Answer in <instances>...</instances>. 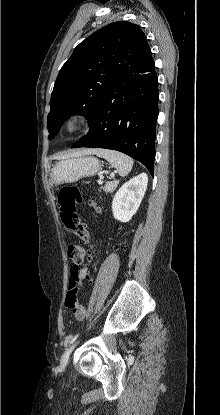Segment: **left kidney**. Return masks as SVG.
Returning a JSON list of instances; mask_svg holds the SVG:
<instances>
[{
	"mask_svg": "<svg viewBox=\"0 0 220 415\" xmlns=\"http://www.w3.org/2000/svg\"><path fill=\"white\" fill-rule=\"evenodd\" d=\"M148 176L141 173L119 188L112 201L115 219L128 222L136 213L147 189Z\"/></svg>",
	"mask_w": 220,
	"mask_h": 415,
	"instance_id": "5707ae66",
	"label": "left kidney"
}]
</instances>
